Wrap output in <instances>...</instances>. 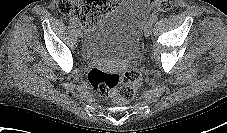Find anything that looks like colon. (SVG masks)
Returning a JSON list of instances; mask_svg holds the SVG:
<instances>
[{
  "label": "colon",
  "mask_w": 227,
  "mask_h": 133,
  "mask_svg": "<svg viewBox=\"0 0 227 133\" xmlns=\"http://www.w3.org/2000/svg\"><path fill=\"white\" fill-rule=\"evenodd\" d=\"M120 0H59L58 9L64 15L76 17L82 25L95 24L104 14L118 5ZM155 8L167 11L172 8L173 0H152ZM91 86L102 96L111 98L117 104L130 102L142 84L138 68L131 67L124 73L107 72L93 68L88 74Z\"/></svg>",
  "instance_id": "colon-1"
}]
</instances>
